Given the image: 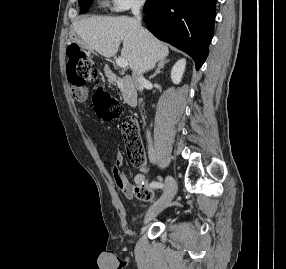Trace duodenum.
<instances>
[{
    "instance_id": "obj_1",
    "label": "duodenum",
    "mask_w": 286,
    "mask_h": 269,
    "mask_svg": "<svg viewBox=\"0 0 286 269\" xmlns=\"http://www.w3.org/2000/svg\"><path fill=\"white\" fill-rule=\"evenodd\" d=\"M108 73L112 74L110 70H108ZM118 83L125 103L131 108L136 107L138 104V94L132 79L128 76H123L118 79Z\"/></svg>"
}]
</instances>
